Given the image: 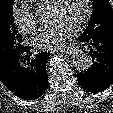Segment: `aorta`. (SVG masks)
Wrapping results in <instances>:
<instances>
[{"mask_svg":"<svg viewBox=\"0 0 113 113\" xmlns=\"http://www.w3.org/2000/svg\"><path fill=\"white\" fill-rule=\"evenodd\" d=\"M71 63L76 70L84 72L91 66L92 61L87 53L76 50L71 57Z\"/></svg>","mask_w":113,"mask_h":113,"instance_id":"1","label":"aorta"}]
</instances>
